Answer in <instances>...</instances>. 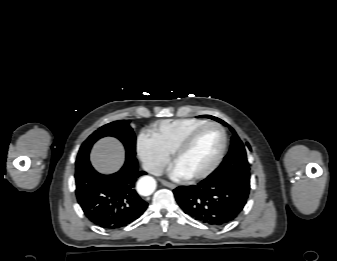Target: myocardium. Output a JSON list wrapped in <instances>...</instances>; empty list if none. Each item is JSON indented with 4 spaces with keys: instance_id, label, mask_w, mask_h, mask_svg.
<instances>
[{
    "instance_id": "obj_1",
    "label": "myocardium",
    "mask_w": 337,
    "mask_h": 261,
    "mask_svg": "<svg viewBox=\"0 0 337 261\" xmlns=\"http://www.w3.org/2000/svg\"><path fill=\"white\" fill-rule=\"evenodd\" d=\"M208 127H215L217 128L222 136V144H221V148L216 156V158L213 160V162L204 170L187 176V179L189 180H200V179H204L206 177H208L210 174H212L220 165V163L222 162L225 153L227 151V147H228V136L226 133V130L224 129V127L214 121H206L205 123L195 127L194 129H192L184 138L183 140L179 143V145L176 147V149L174 150V152L172 153V161L173 164L176 165L177 161L179 160V158L188 150V148L192 145L193 141L195 140V138L198 136V134L203 131L204 129L208 128Z\"/></svg>"
}]
</instances>
